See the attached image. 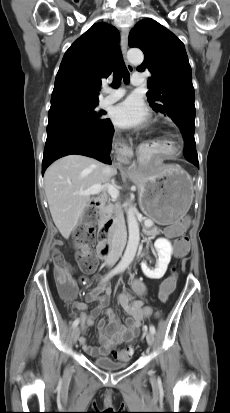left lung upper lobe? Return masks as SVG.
Masks as SVG:
<instances>
[{
	"mask_svg": "<svg viewBox=\"0 0 230 413\" xmlns=\"http://www.w3.org/2000/svg\"><path fill=\"white\" fill-rule=\"evenodd\" d=\"M129 46L144 53V61L137 70L151 73L146 95L152 109L168 115L182 134L194 133V88L184 44L167 28L148 18L130 31Z\"/></svg>",
	"mask_w": 230,
	"mask_h": 413,
	"instance_id": "5c2ea615",
	"label": "left lung upper lobe"
}]
</instances>
